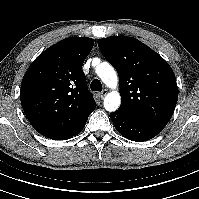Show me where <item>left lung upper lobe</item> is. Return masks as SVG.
Returning <instances> with one entry per match:
<instances>
[{
  "label": "left lung upper lobe",
  "mask_w": 199,
  "mask_h": 199,
  "mask_svg": "<svg viewBox=\"0 0 199 199\" xmlns=\"http://www.w3.org/2000/svg\"><path fill=\"white\" fill-rule=\"evenodd\" d=\"M98 46L119 75L121 105L118 110L163 129L178 100L176 78L169 64L133 37L98 39Z\"/></svg>",
  "instance_id": "1"
}]
</instances>
